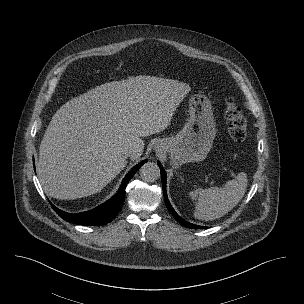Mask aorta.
<instances>
[{
  "label": "aorta",
  "mask_w": 304,
  "mask_h": 304,
  "mask_svg": "<svg viewBox=\"0 0 304 304\" xmlns=\"http://www.w3.org/2000/svg\"><path fill=\"white\" fill-rule=\"evenodd\" d=\"M140 177L145 182H154L160 177V169L156 163L147 162L140 168Z\"/></svg>",
  "instance_id": "762f6f07"
}]
</instances>
